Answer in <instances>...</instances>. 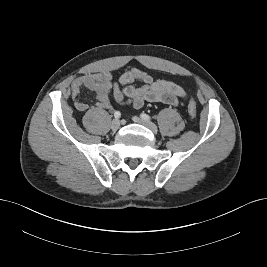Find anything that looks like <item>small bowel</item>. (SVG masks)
I'll return each mask as SVG.
<instances>
[{"instance_id":"small-bowel-1","label":"small bowel","mask_w":267,"mask_h":267,"mask_svg":"<svg viewBox=\"0 0 267 267\" xmlns=\"http://www.w3.org/2000/svg\"><path fill=\"white\" fill-rule=\"evenodd\" d=\"M134 81H141V87L132 85ZM82 89L95 93V106L98 109L110 110L112 104L110 94L115 101L134 109L141 108L146 102L176 105L180 99L186 97L184 89L177 82L168 79H154L148 72L132 67L126 69L116 81L111 72H100L82 75L75 78L71 84L72 98L75 108L85 112L89 106L80 99Z\"/></svg>"}]
</instances>
